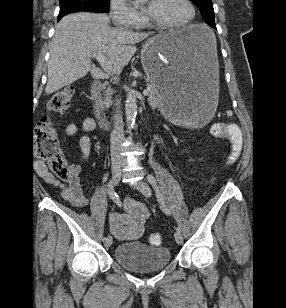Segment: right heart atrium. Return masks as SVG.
I'll return each mask as SVG.
<instances>
[{
  "label": "right heart atrium",
  "instance_id": "d8ad5b80",
  "mask_svg": "<svg viewBox=\"0 0 286 308\" xmlns=\"http://www.w3.org/2000/svg\"><path fill=\"white\" fill-rule=\"evenodd\" d=\"M110 16L115 26L134 29L143 25L144 17L127 0H110Z\"/></svg>",
  "mask_w": 286,
  "mask_h": 308
}]
</instances>
